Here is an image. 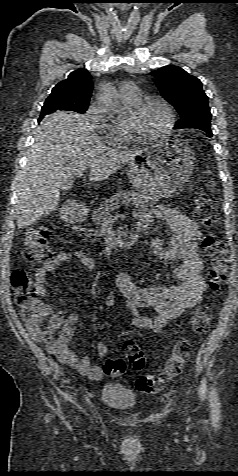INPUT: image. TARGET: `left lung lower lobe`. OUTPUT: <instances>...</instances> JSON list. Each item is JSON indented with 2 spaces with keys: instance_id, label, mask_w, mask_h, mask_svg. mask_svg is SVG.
<instances>
[{
  "instance_id": "0a47b994",
  "label": "left lung lower lobe",
  "mask_w": 238,
  "mask_h": 476,
  "mask_svg": "<svg viewBox=\"0 0 238 476\" xmlns=\"http://www.w3.org/2000/svg\"><path fill=\"white\" fill-rule=\"evenodd\" d=\"M200 130L205 131V132L208 134V137H212V131H211V129H207V128L202 127Z\"/></svg>"
}]
</instances>
